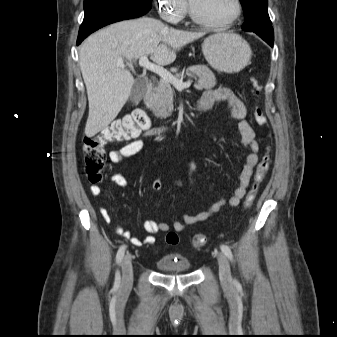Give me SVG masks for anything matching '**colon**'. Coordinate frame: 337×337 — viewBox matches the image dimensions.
I'll use <instances>...</instances> for the list:
<instances>
[{
  "mask_svg": "<svg viewBox=\"0 0 337 337\" xmlns=\"http://www.w3.org/2000/svg\"><path fill=\"white\" fill-rule=\"evenodd\" d=\"M254 93L260 96L263 85L257 78L251 79ZM253 117L257 125L264 126L267 124L263 110L256 106L253 111ZM149 124L147 117L135 119L133 116H126L122 119L113 121L109 126L104 128L96 135L86 136L83 140L82 150L84 153L85 174L91 184L98 185L102 180V169L106 162L105 146L107 144L122 142L136 136L141 127ZM270 167V149L269 146L264 147V151L256 166V172L251 182L249 191L243 202V208L248 209L253 203L259 187ZM165 240L168 244L174 245L179 241L176 232L169 231ZM208 241L205 234H197L192 239V246L200 248Z\"/></svg>",
  "mask_w": 337,
  "mask_h": 337,
  "instance_id": "5ec220e1",
  "label": "colon"
}]
</instances>
